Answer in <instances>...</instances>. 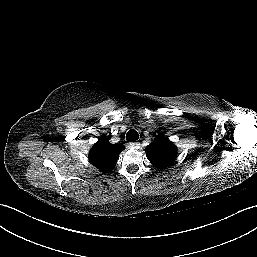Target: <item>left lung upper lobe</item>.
<instances>
[{
  "label": "left lung upper lobe",
  "instance_id": "obj_1",
  "mask_svg": "<svg viewBox=\"0 0 257 257\" xmlns=\"http://www.w3.org/2000/svg\"><path fill=\"white\" fill-rule=\"evenodd\" d=\"M149 161L158 168L170 166L176 156V146L166 137L160 135L145 149Z\"/></svg>",
  "mask_w": 257,
  "mask_h": 257
}]
</instances>
